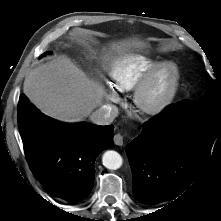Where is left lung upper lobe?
Listing matches in <instances>:
<instances>
[{"label": "left lung upper lobe", "mask_w": 221, "mask_h": 221, "mask_svg": "<svg viewBox=\"0 0 221 221\" xmlns=\"http://www.w3.org/2000/svg\"><path fill=\"white\" fill-rule=\"evenodd\" d=\"M220 104L221 96L213 84L198 101L186 100L179 103L177 118L189 122L221 125Z\"/></svg>", "instance_id": "5c2ea615"}]
</instances>
